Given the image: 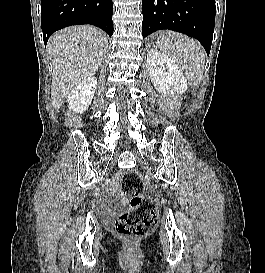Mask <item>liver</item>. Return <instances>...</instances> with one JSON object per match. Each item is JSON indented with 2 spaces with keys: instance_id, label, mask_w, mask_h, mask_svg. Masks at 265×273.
<instances>
[{
  "instance_id": "obj_1",
  "label": "liver",
  "mask_w": 265,
  "mask_h": 273,
  "mask_svg": "<svg viewBox=\"0 0 265 273\" xmlns=\"http://www.w3.org/2000/svg\"><path fill=\"white\" fill-rule=\"evenodd\" d=\"M107 47L106 34L90 25L67 27L50 37L51 96L55 109L62 106L76 85L98 71Z\"/></svg>"
}]
</instances>
